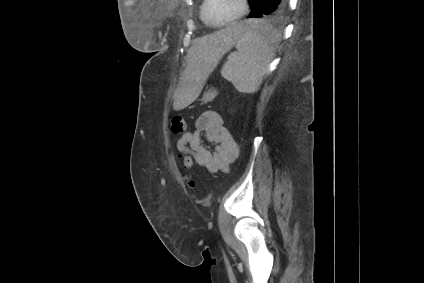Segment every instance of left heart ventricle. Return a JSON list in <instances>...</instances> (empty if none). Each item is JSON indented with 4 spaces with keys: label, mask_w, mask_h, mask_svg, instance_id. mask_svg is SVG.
I'll return each instance as SVG.
<instances>
[{
    "label": "left heart ventricle",
    "mask_w": 424,
    "mask_h": 283,
    "mask_svg": "<svg viewBox=\"0 0 424 283\" xmlns=\"http://www.w3.org/2000/svg\"><path fill=\"white\" fill-rule=\"evenodd\" d=\"M240 0H211L208 6V20L218 23L237 15L240 11Z\"/></svg>",
    "instance_id": "b2bd125f"
}]
</instances>
